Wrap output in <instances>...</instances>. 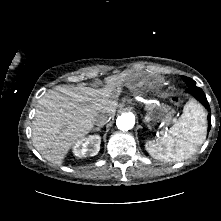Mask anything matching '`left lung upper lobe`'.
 <instances>
[{
  "label": "left lung upper lobe",
  "mask_w": 221,
  "mask_h": 221,
  "mask_svg": "<svg viewBox=\"0 0 221 221\" xmlns=\"http://www.w3.org/2000/svg\"><path fill=\"white\" fill-rule=\"evenodd\" d=\"M183 80L186 82V84H187L188 86H190V85H195V84H196V82H195L193 79H191V78H189V77H186V76H183Z\"/></svg>",
  "instance_id": "1"
}]
</instances>
